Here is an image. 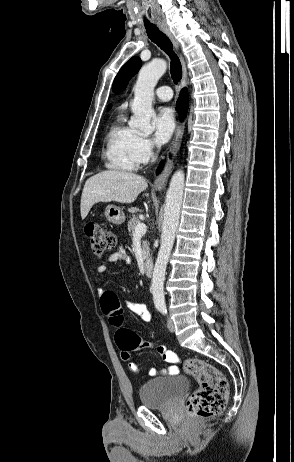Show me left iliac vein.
I'll list each match as a JSON object with an SVG mask.
<instances>
[{
	"label": "left iliac vein",
	"mask_w": 294,
	"mask_h": 462,
	"mask_svg": "<svg viewBox=\"0 0 294 462\" xmlns=\"http://www.w3.org/2000/svg\"><path fill=\"white\" fill-rule=\"evenodd\" d=\"M167 327H168L170 332H175L174 323L170 318H168V320H167Z\"/></svg>",
	"instance_id": "obj_1"
}]
</instances>
